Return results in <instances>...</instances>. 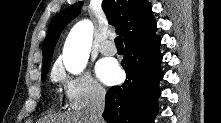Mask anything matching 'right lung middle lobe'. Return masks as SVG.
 I'll list each match as a JSON object with an SVG mask.
<instances>
[{"mask_svg":"<svg viewBox=\"0 0 221 123\" xmlns=\"http://www.w3.org/2000/svg\"><path fill=\"white\" fill-rule=\"evenodd\" d=\"M49 68H50V64H48L47 66L43 67V69H42V77H41L42 81L45 80Z\"/></svg>","mask_w":221,"mask_h":123,"instance_id":"1","label":"right lung middle lobe"}]
</instances>
